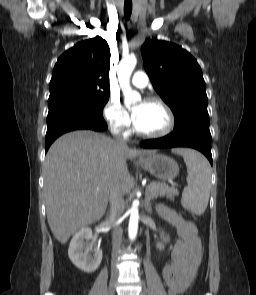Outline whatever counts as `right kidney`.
Wrapping results in <instances>:
<instances>
[{
  "mask_svg": "<svg viewBox=\"0 0 256 295\" xmlns=\"http://www.w3.org/2000/svg\"><path fill=\"white\" fill-rule=\"evenodd\" d=\"M91 237V228L83 227L79 229L74 234L68 249V256L72 263L85 273H92L97 270L102 260V250L100 247L94 249L92 256L90 254L92 251L91 247L86 246V242Z\"/></svg>",
  "mask_w": 256,
  "mask_h": 295,
  "instance_id": "obj_1",
  "label": "right kidney"
}]
</instances>
